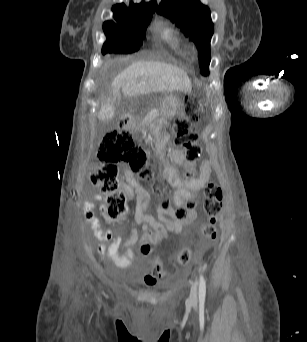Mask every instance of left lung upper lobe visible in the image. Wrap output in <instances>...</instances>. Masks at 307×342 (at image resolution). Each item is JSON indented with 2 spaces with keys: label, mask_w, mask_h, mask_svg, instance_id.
I'll use <instances>...</instances> for the list:
<instances>
[{
  "label": "left lung upper lobe",
  "mask_w": 307,
  "mask_h": 342,
  "mask_svg": "<svg viewBox=\"0 0 307 342\" xmlns=\"http://www.w3.org/2000/svg\"><path fill=\"white\" fill-rule=\"evenodd\" d=\"M158 13L170 18L190 36L199 51L200 69L208 74L210 41L213 35V23L210 10L198 0H165L160 3Z\"/></svg>",
  "instance_id": "obj_1"
}]
</instances>
